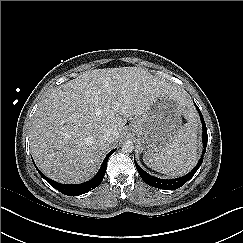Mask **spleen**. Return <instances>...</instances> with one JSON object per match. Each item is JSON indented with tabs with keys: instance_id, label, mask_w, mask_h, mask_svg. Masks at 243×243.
<instances>
[{
	"instance_id": "obj_1",
	"label": "spleen",
	"mask_w": 243,
	"mask_h": 243,
	"mask_svg": "<svg viewBox=\"0 0 243 243\" xmlns=\"http://www.w3.org/2000/svg\"><path fill=\"white\" fill-rule=\"evenodd\" d=\"M144 163L163 174L179 176L189 172L197 161V130L189 121L173 142L159 153L144 155Z\"/></svg>"
}]
</instances>
